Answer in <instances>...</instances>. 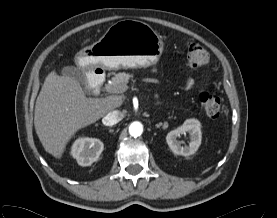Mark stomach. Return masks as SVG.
<instances>
[{"label": "stomach", "instance_id": "0dacf381", "mask_svg": "<svg viewBox=\"0 0 277 218\" xmlns=\"http://www.w3.org/2000/svg\"><path fill=\"white\" fill-rule=\"evenodd\" d=\"M164 49L160 35L138 20H121L91 46L80 50L75 62L83 69L117 70L148 67L158 62Z\"/></svg>", "mask_w": 277, "mask_h": 218}]
</instances>
